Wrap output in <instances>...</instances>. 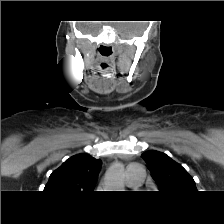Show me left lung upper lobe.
Here are the masks:
<instances>
[{"label":"left lung upper lobe","instance_id":"obj_1","mask_svg":"<svg viewBox=\"0 0 224 224\" xmlns=\"http://www.w3.org/2000/svg\"><path fill=\"white\" fill-rule=\"evenodd\" d=\"M141 156L148 164L161 193L177 196L183 193L197 192L193 178L180 164L166 154L150 150Z\"/></svg>","mask_w":224,"mask_h":224}]
</instances>
